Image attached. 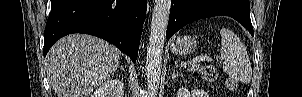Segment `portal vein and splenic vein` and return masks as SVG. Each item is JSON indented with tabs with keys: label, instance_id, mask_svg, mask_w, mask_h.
<instances>
[{
	"label": "portal vein and splenic vein",
	"instance_id": "18ae733b",
	"mask_svg": "<svg viewBox=\"0 0 302 97\" xmlns=\"http://www.w3.org/2000/svg\"><path fill=\"white\" fill-rule=\"evenodd\" d=\"M201 61H208V62H212L213 61V59L211 58V57H209V56H198V57H195L194 59H192V61H190L189 62V65L190 66H193V65H195V64H197V63H199V62H201Z\"/></svg>",
	"mask_w": 302,
	"mask_h": 97
}]
</instances>
